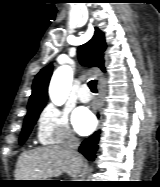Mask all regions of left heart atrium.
Returning a JSON list of instances; mask_svg holds the SVG:
<instances>
[{
    "instance_id": "obj_1",
    "label": "left heart atrium",
    "mask_w": 160,
    "mask_h": 187,
    "mask_svg": "<svg viewBox=\"0 0 160 187\" xmlns=\"http://www.w3.org/2000/svg\"><path fill=\"white\" fill-rule=\"evenodd\" d=\"M73 124L81 135L90 134L95 128V119L86 108H78L73 114Z\"/></svg>"
}]
</instances>
